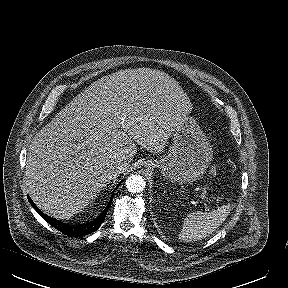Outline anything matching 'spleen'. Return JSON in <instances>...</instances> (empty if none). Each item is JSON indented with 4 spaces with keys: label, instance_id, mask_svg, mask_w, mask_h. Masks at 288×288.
Instances as JSON below:
<instances>
[{
    "label": "spleen",
    "instance_id": "obj_1",
    "mask_svg": "<svg viewBox=\"0 0 288 288\" xmlns=\"http://www.w3.org/2000/svg\"><path fill=\"white\" fill-rule=\"evenodd\" d=\"M229 212L230 207L223 205L207 213L201 211L189 213L184 219L179 239L184 242H193L207 237L226 220Z\"/></svg>",
    "mask_w": 288,
    "mask_h": 288
}]
</instances>
